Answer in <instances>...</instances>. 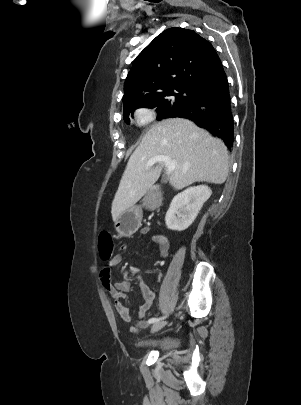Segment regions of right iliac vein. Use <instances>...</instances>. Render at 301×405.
<instances>
[{"instance_id":"right-iliac-vein-1","label":"right iliac vein","mask_w":301,"mask_h":405,"mask_svg":"<svg viewBox=\"0 0 301 405\" xmlns=\"http://www.w3.org/2000/svg\"><path fill=\"white\" fill-rule=\"evenodd\" d=\"M166 325V321H160V322H156L152 325L151 331L154 332H158L159 330H161L164 326Z\"/></svg>"}]
</instances>
